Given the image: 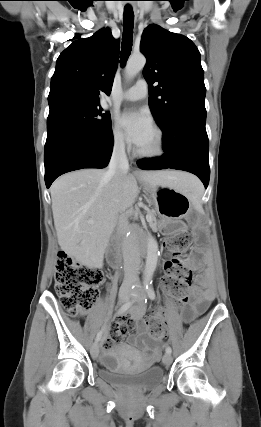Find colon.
<instances>
[{
	"instance_id": "colon-1",
	"label": "colon",
	"mask_w": 261,
	"mask_h": 427,
	"mask_svg": "<svg viewBox=\"0 0 261 427\" xmlns=\"http://www.w3.org/2000/svg\"><path fill=\"white\" fill-rule=\"evenodd\" d=\"M191 244V234L182 230L171 236L166 246L171 254L167 264V275L162 283L166 291L171 292L178 306L188 301L192 272L180 264L178 257ZM103 281V273L98 267L78 262L66 252H59L56 263L55 291L63 308L73 316L85 315L93 307L98 287ZM149 335L158 338L162 335L165 323L159 315L150 317L145 323Z\"/></svg>"
}]
</instances>
